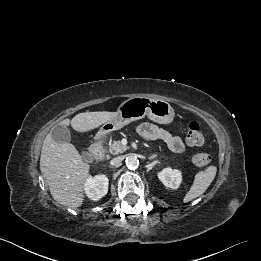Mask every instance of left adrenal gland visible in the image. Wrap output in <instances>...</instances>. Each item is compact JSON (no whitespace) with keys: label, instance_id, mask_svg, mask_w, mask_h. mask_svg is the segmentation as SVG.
<instances>
[{"label":"left adrenal gland","instance_id":"obj_1","mask_svg":"<svg viewBox=\"0 0 261 261\" xmlns=\"http://www.w3.org/2000/svg\"><path fill=\"white\" fill-rule=\"evenodd\" d=\"M157 157V155L156 154H154V155H151L150 157H149V160H152V159H154V158H156Z\"/></svg>","mask_w":261,"mask_h":261}]
</instances>
